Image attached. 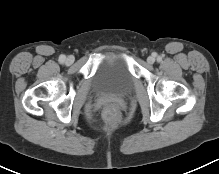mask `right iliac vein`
<instances>
[{
	"label": "right iliac vein",
	"instance_id": "right-iliac-vein-1",
	"mask_svg": "<svg viewBox=\"0 0 219 174\" xmlns=\"http://www.w3.org/2000/svg\"><path fill=\"white\" fill-rule=\"evenodd\" d=\"M66 64L71 65L74 62V58L72 56H69L66 58Z\"/></svg>",
	"mask_w": 219,
	"mask_h": 174
}]
</instances>
